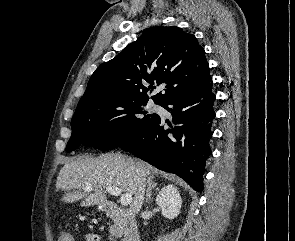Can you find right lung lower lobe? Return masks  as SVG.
I'll return each instance as SVG.
<instances>
[{
	"mask_svg": "<svg viewBox=\"0 0 295 241\" xmlns=\"http://www.w3.org/2000/svg\"><path fill=\"white\" fill-rule=\"evenodd\" d=\"M211 80L204 86L176 94L161 106L172 123L157 117L120 147L166 172L183 178L194 190H203L202 175L212 154L210 138L216 114ZM168 124L169 127L164 125Z\"/></svg>",
	"mask_w": 295,
	"mask_h": 241,
	"instance_id": "98d812e1",
	"label": "right lung lower lobe"
}]
</instances>
